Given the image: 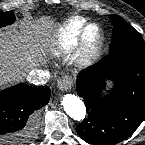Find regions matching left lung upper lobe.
<instances>
[{"label":"left lung upper lobe","instance_id":"left-lung-upper-lobe-1","mask_svg":"<svg viewBox=\"0 0 145 145\" xmlns=\"http://www.w3.org/2000/svg\"><path fill=\"white\" fill-rule=\"evenodd\" d=\"M110 20L114 26L110 54L127 52L145 57V43L140 33L119 16L110 15Z\"/></svg>","mask_w":145,"mask_h":145}]
</instances>
